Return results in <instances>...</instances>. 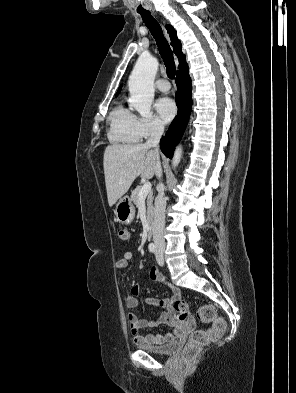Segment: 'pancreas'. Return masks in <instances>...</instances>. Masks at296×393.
Returning a JSON list of instances; mask_svg holds the SVG:
<instances>
[{"instance_id": "pancreas-1", "label": "pancreas", "mask_w": 296, "mask_h": 393, "mask_svg": "<svg viewBox=\"0 0 296 393\" xmlns=\"http://www.w3.org/2000/svg\"><path fill=\"white\" fill-rule=\"evenodd\" d=\"M141 186H138L131 194V200L132 202L138 206L140 203V197H139V192L141 190ZM146 199V205H147V219L149 223L152 222L153 219V193L150 192L147 194V196L144 197Z\"/></svg>"}]
</instances>
